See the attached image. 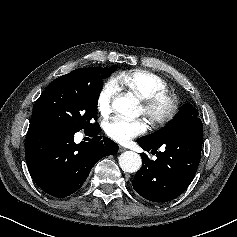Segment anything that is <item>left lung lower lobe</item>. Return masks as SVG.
<instances>
[{"label":"left lung lower lobe","instance_id":"obj_1","mask_svg":"<svg viewBox=\"0 0 237 237\" xmlns=\"http://www.w3.org/2000/svg\"><path fill=\"white\" fill-rule=\"evenodd\" d=\"M203 124L199 118L173 137L159 143L137 139L141 148L156 154L155 161L141 153L142 168L132 185L143 198L152 202H167L181 195L197 171L202 150ZM163 152H158L160 147Z\"/></svg>","mask_w":237,"mask_h":237}]
</instances>
